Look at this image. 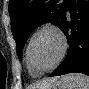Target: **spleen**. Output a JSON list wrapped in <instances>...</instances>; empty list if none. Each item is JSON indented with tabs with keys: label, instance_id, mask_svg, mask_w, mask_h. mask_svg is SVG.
I'll use <instances>...</instances> for the list:
<instances>
[{
	"label": "spleen",
	"instance_id": "3e777b00",
	"mask_svg": "<svg viewBox=\"0 0 89 89\" xmlns=\"http://www.w3.org/2000/svg\"><path fill=\"white\" fill-rule=\"evenodd\" d=\"M68 86V89H88L89 77L81 73L67 74L61 79Z\"/></svg>",
	"mask_w": 89,
	"mask_h": 89
}]
</instances>
